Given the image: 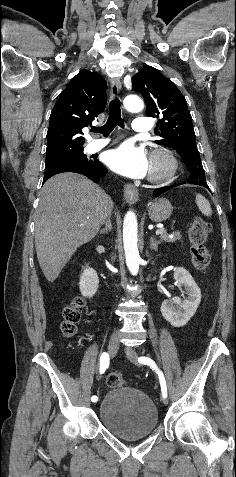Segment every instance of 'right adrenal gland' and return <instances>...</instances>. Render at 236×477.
Segmentation results:
<instances>
[{"instance_id": "1", "label": "right adrenal gland", "mask_w": 236, "mask_h": 477, "mask_svg": "<svg viewBox=\"0 0 236 477\" xmlns=\"http://www.w3.org/2000/svg\"><path fill=\"white\" fill-rule=\"evenodd\" d=\"M105 228L100 230V234L108 233L112 230L111 215L108 216L107 220L104 222Z\"/></svg>"}]
</instances>
